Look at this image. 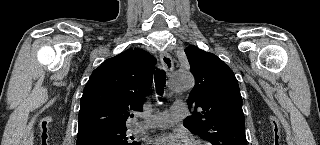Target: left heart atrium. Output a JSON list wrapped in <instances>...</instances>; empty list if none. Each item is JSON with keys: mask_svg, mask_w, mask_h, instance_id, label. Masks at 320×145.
<instances>
[{"mask_svg": "<svg viewBox=\"0 0 320 145\" xmlns=\"http://www.w3.org/2000/svg\"><path fill=\"white\" fill-rule=\"evenodd\" d=\"M156 145H188V139L184 134H165L154 140Z\"/></svg>", "mask_w": 320, "mask_h": 145, "instance_id": "1", "label": "left heart atrium"}]
</instances>
